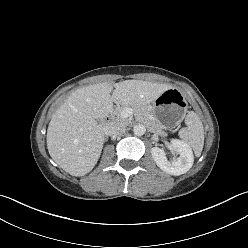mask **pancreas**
Masks as SVG:
<instances>
[{"mask_svg": "<svg viewBox=\"0 0 248 248\" xmlns=\"http://www.w3.org/2000/svg\"><path fill=\"white\" fill-rule=\"evenodd\" d=\"M124 108H132L136 115L151 127L153 133L162 137L167 135V133L151 118V112L147 106L123 105L122 107L117 108L115 114L118 121L127 123V119L121 115Z\"/></svg>", "mask_w": 248, "mask_h": 248, "instance_id": "pancreas-1", "label": "pancreas"}]
</instances>
